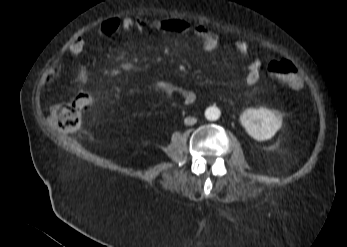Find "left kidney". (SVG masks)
I'll return each mask as SVG.
<instances>
[{
  "label": "left kidney",
  "mask_w": 347,
  "mask_h": 247,
  "mask_svg": "<svg viewBox=\"0 0 347 247\" xmlns=\"http://www.w3.org/2000/svg\"><path fill=\"white\" fill-rule=\"evenodd\" d=\"M246 132L258 141L271 139L282 126V117L267 108H249L240 116Z\"/></svg>",
  "instance_id": "5707ae66"
}]
</instances>
